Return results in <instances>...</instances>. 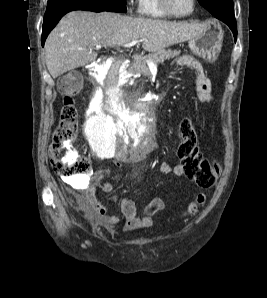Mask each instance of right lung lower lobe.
Listing matches in <instances>:
<instances>
[{
	"label": "right lung lower lobe",
	"instance_id": "obj_1",
	"mask_svg": "<svg viewBox=\"0 0 267 298\" xmlns=\"http://www.w3.org/2000/svg\"><path fill=\"white\" fill-rule=\"evenodd\" d=\"M73 10H85V11H93V12H101L105 11L98 7L88 5V4H74L68 7L61 9L60 11L56 12L53 16L48 19H44L43 28H42V45L49 34V32L55 27V25L59 22V20L68 12Z\"/></svg>",
	"mask_w": 267,
	"mask_h": 298
}]
</instances>
